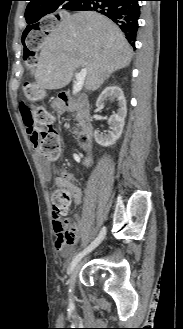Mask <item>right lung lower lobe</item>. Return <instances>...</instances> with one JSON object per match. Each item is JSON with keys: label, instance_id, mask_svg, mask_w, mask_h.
<instances>
[{"label": "right lung lower lobe", "instance_id": "obj_1", "mask_svg": "<svg viewBox=\"0 0 183 329\" xmlns=\"http://www.w3.org/2000/svg\"><path fill=\"white\" fill-rule=\"evenodd\" d=\"M139 0H78L67 10L96 11L114 21L125 33L126 39L135 47L138 19L140 16Z\"/></svg>", "mask_w": 183, "mask_h": 329}]
</instances>
